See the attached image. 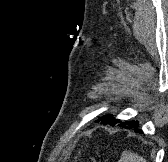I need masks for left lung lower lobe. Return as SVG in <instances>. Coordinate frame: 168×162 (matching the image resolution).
Segmentation results:
<instances>
[{
  "mask_svg": "<svg viewBox=\"0 0 168 162\" xmlns=\"http://www.w3.org/2000/svg\"><path fill=\"white\" fill-rule=\"evenodd\" d=\"M102 124L106 125H112L118 124V126L126 128V129H134L136 132L142 133V130L140 129L139 122L138 121H121L118 119H115L112 115H107L104 117H101L98 119Z\"/></svg>",
  "mask_w": 168,
  "mask_h": 162,
  "instance_id": "obj_1",
  "label": "left lung lower lobe"
}]
</instances>
